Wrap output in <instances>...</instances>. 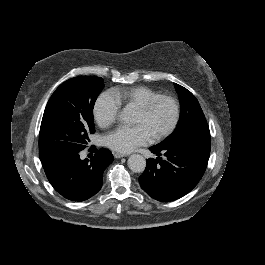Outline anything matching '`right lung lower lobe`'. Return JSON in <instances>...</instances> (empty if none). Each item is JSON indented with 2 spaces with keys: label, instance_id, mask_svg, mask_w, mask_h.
I'll return each mask as SVG.
<instances>
[{
  "label": "right lung lower lobe",
  "instance_id": "right-lung-lower-lobe-1",
  "mask_svg": "<svg viewBox=\"0 0 265 265\" xmlns=\"http://www.w3.org/2000/svg\"><path fill=\"white\" fill-rule=\"evenodd\" d=\"M94 157L81 160L78 153H54L41 160L45 174L53 188L64 198L84 201L102 187L103 172L113 162L112 153L105 148L97 150Z\"/></svg>",
  "mask_w": 265,
  "mask_h": 265
}]
</instances>
